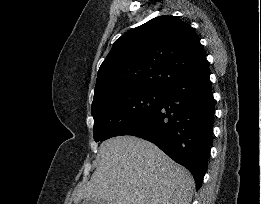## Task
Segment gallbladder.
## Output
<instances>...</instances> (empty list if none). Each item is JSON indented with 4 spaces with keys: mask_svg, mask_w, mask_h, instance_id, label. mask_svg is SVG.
<instances>
[{
    "mask_svg": "<svg viewBox=\"0 0 261 204\" xmlns=\"http://www.w3.org/2000/svg\"><path fill=\"white\" fill-rule=\"evenodd\" d=\"M81 204H107V202L102 199L86 198Z\"/></svg>",
    "mask_w": 261,
    "mask_h": 204,
    "instance_id": "bac80fb5",
    "label": "gallbladder"
}]
</instances>
